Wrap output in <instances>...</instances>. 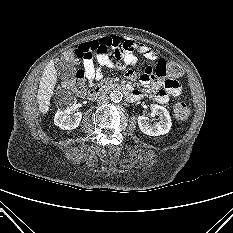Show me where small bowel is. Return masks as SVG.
Listing matches in <instances>:
<instances>
[{
	"label": "small bowel",
	"instance_id": "1",
	"mask_svg": "<svg viewBox=\"0 0 233 233\" xmlns=\"http://www.w3.org/2000/svg\"><path fill=\"white\" fill-rule=\"evenodd\" d=\"M110 52L116 62L112 60ZM135 52L140 53L149 61L156 62V69L159 62L164 59L159 52L142 43L117 36L84 42L79 44L75 50L76 56L83 61L84 74L90 86L93 85L94 80H100L103 77L102 67L122 70L128 65L135 64L137 60ZM94 57L97 63H95ZM126 77L134 80L137 78V74L128 70ZM140 81L143 84L151 85L154 99L161 104L167 103L170 97L178 96L181 93V85L178 81L174 79L163 80L162 76L153 73V68L150 65L142 71ZM133 92L136 99L142 96L139 90Z\"/></svg>",
	"mask_w": 233,
	"mask_h": 233
}]
</instances>
